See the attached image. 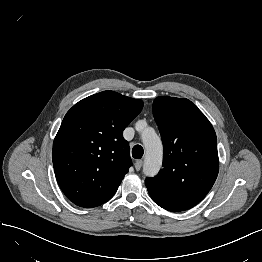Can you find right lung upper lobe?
Masks as SVG:
<instances>
[{
  "label": "right lung upper lobe",
  "mask_w": 262,
  "mask_h": 262,
  "mask_svg": "<svg viewBox=\"0 0 262 262\" xmlns=\"http://www.w3.org/2000/svg\"><path fill=\"white\" fill-rule=\"evenodd\" d=\"M142 108L139 99L103 91L67 112L52 159L57 182L74 204L92 208L113 197L132 166L123 131Z\"/></svg>",
  "instance_id": "cb5924a9"
}]
</instances>
